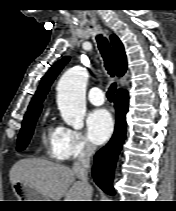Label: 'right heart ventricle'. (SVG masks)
Instances as JSON below:
<instances>
[{
	"label": "right heart ventricle",
	"instance_id": "1",
	"mask_svg": "<svg viewBox=\"0 0 176 211\" xmlns=\"http://www.w3.org/2000/svg\"><path fill=\"white\" fill-rule=\"evenodd\" d=\"M60 127L48 124L44 131V143L48 154L55 158L60 159L58 153L55 150V144L58 140Z\"/></svg>",
	"mask_w": 176,
	"mask_h": 211
}]
</instances>
